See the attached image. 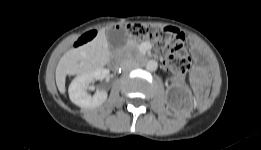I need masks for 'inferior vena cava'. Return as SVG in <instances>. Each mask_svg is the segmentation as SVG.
<instances>
[{
  "label": "inferior vena cava",
  "mask_w": 261,
  "mask_h": 150,
  "mask_svg": "<svg viewBox=\"0 0 261 150\" xmlns=\"http://www.w3.org/2000/svg\"><path fill=\"white\" fill-rule=\"evenodd\" d=\"M138 67H139V64L132 59L124 60L121 63V69L123 72H128V71L138 68Z\"/></svg>",
  "instance_id": "602c4592"
}]
</instances>
